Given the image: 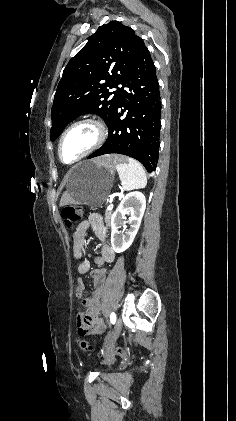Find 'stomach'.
Segmentation results:
<instances>
[{
  "instance_id": "obj_1",
  "label": "stomach",
  "mask_w": 236,
  "mask_h": 421,
  "mask_svg": "<svg viewBox=\"0 0 236 421\" xmlns=\"http://www.w3.org/2000/svg\"><path fill=\"white\" fill-rule=\"evenodd\" d=\"M115 166L82 160L69 170L67 192L74 204L101 206L109 198Z\"/></svg>"
}]
</instances>
